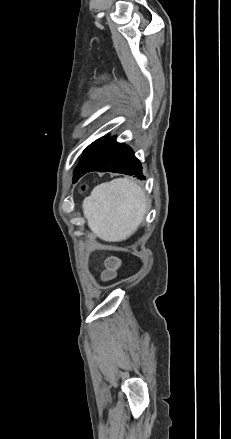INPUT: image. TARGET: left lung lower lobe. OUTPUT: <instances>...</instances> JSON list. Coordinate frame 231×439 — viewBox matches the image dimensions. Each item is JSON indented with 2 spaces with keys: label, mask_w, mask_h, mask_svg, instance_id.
Returning a JSON list of instances; mask_svg holds the SVG:
<instances>
[{
  "label": "left lung lower lobe",
  "mask_w": 231,
  "mask_h": 439,
  "mask_svg": "<svg viewBox=\"0 0 231 439\" xmlns=\"http://www.w3.org/2000/svg\"><path fill=\"white\" fill-rule=\"evenodd\" d=\"M92 171H109L135 176L138 179H145L140 162L134 156L132 149L125 144L116 142L115 137L108 139L104 143L93 163L80 177Z\"/></svg>",
  "instance_id": "obj_1"
}]
</instances>
